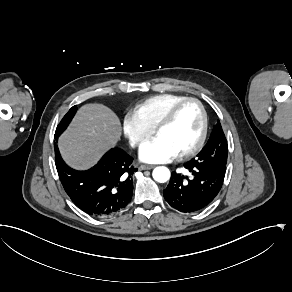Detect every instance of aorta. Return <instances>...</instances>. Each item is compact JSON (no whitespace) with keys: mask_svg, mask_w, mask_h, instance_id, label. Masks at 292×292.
Here are the masks:
<instances>
[{"mask_svg":"<svg viewBox=\"0 0 292 292\" xmlns=\"http://www.w3.org/2000/svg\"><path fill=\"white\" fill-rule=\"evenodd\" d=\"M153 179L159 183H165L170 178V171L167 167H156L152 173Z\"/></svg>","mask_w":292,"mask_h":292,"instance_id":"obj_1","label":"aorta"}]
</instances>
